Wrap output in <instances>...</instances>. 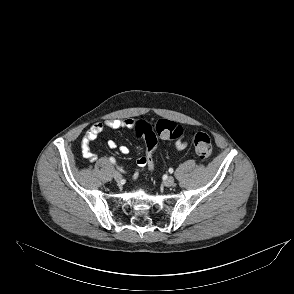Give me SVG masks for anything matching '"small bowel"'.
<instances>
[{
	"label": "small bowel",
	"mask_w": 294,
	"mask_h": 294,
	"mask_svg": "<svg viewBox=\"0 0 294 294\" xmlns=\"http://www.w3.org/2000/svg\"><path fill=\"white\" fill-rule=\"evenodd\" d=\"M135 120L134 119H110L104 122H97L93 124L90 129L85 133L82 139V154L84 158L89 160L90 162H95L97 160L96 154L91 151L90 145L91 143L103 132L105 128L111 129H122L128 128L132 129L134 127ZM108 147L110 149L118 148L119 152L123 155H127L129 153V148L125 145L118 146L117 143L113 140L108 141ZM175 147L177 150H183L187 147V142L183 138H178L175 142ZM137 170H143L146 166L150 165L146 157H141L137 160Z\"/></svg>",
	"instance_id": "c3829d8e"
}]
</instances>
